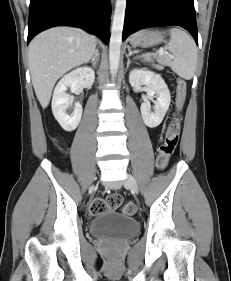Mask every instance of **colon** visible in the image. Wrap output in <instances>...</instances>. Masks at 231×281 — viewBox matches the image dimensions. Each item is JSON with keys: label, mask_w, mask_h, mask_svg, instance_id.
<instances>
[{"label": "colon", "mask_w": 231, "mask_h": 281, "mask_svg": "<svg viewBox=\"0 0 231 281\" xmlns=\"http://www.w3.org/2000/svg\"><path fill=\"white\" fill-rule=\"evenodd\" d=\"M187 93L186 82L183 79L177 80L176 87V111L181 112ZM180 134L179 117L176 116L167 128L163 143L160 145L156 159V165L163 170L167 167L171 156L173 155L178 144ZM123 198L119 194H111L106 199L94 198L89 203V211L96 215L106 210H115L121 207ZM122 210L127 215H134L137 212V207L133 202H126Z\"/></svg>", "instance_id": "5ec220e1"}]
</instances>
